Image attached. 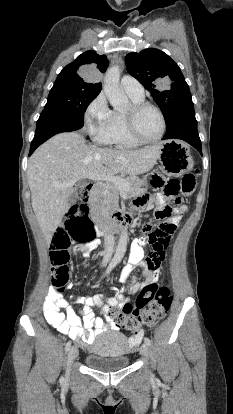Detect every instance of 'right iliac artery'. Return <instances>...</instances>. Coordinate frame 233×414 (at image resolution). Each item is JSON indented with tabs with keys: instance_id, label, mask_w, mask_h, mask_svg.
<instances>
[{
	"instance_id": "right-iliac-artery-1",
	"label": "right iliac artery",
	"mask_w": 233,
	"mask_h": 414,
	"mask_svg": "<svg viewBox=\"0 0 233 414\" xmlns=\"http://www.w3.org/2000/svg\"><path fill=\"white\" fill-rule=\"evenodd\" d=\"M115 265H116V262H114V261H112L110 264H109V266L107 267V270H106V272H105V274L104 275H106V274H108V273H110V271L115 267ZM70 347H71V341H68L67 343H66V345H65V351L67 352V351H69V349H70ZM61 382H63V377H61Z\"/></svg>"
}]
</instances>
